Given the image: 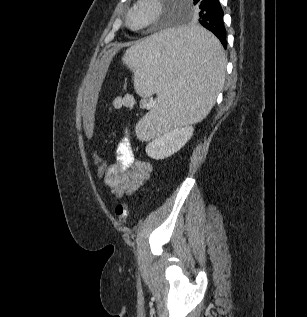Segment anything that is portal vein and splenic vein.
<instances>
[{
    "mask_svg": "<svg viewBox=\"0 0 307 317\" xmlns=\"http://www.w3.org/2000/svg\"><path fill=\"white\" fill-rule=\"evenodd\" d=\"M152 104H154V102H153V101H150V105H152Z\"/></svg>",
    "mask_w": 307,
    "mask_h": 317,
    "instance_id": "obj_1",
    "label": "portal vein and splenic vein"
}]
</instances>
